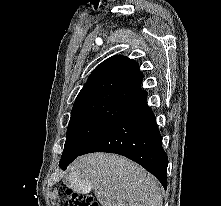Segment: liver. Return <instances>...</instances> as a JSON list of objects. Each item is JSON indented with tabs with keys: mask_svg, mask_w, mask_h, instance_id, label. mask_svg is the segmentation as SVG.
Returning a JSON list of instances; mask_svg holds the SVG:
<instances>
[{
	"mask_svg": "<svg viewBox=\"0 0 221 206\" xmlns=\"http://www.w3.org/2000/svg\"><path fill=\"white\" fill-rule=\"evenodd\" d=\"M64 184L79 193L93 190L101 206H162L157 180L138 164L109 153L81 156Z\"/></svg>",
	"mask_w": 221,
	"mask_h": 206,
	"instance_id": "6515ba94",
	"label": "liver"
}]
</instances>
